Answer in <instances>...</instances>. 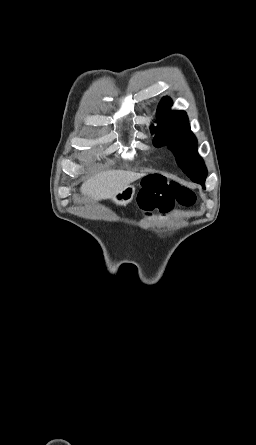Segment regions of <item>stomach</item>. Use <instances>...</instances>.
I'll return each instance as SVG.
<instances>
[{
  "label": "stomach",
  "instance_id": "1",
  "mask_svg": "<svg viewBox=\"0 0 256 445\" xmlns=\"http://www.w3.org/2000/svg\"><path fill=\"white\" fill-rule=\"evenodd\" d=\"M136 186L134 184H130L126 188H124L122 191L116 193L112 200L121 206H126L128 203H130L133 200V197L135 195Z\"/></svg>",
  "mask_w": 256,
  "mask_h": 445
}]
</instances>
